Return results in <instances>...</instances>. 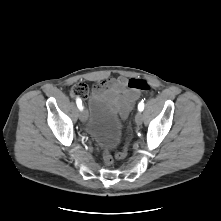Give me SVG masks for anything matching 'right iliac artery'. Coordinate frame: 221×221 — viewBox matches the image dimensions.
Segmentation results:
<instances>
[{
  "label": "right iliac artery",
  "instance_id": "1",
  "mask_svg": "<svg viewBox=\"0 0 221 221\" xmlns=\"http://www.w3.org/2000/svg\"><path fill=\"white\" fill-rule=\"evenodd\" d=\"M76 104H77V106H78V108H79L80 110L83 109L82 101H81L79 98L76 100Z\"/></svg>",
  "mask_w": 221,
  "mask_h": 221
}]
</instances>
